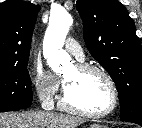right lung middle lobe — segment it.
<instances>
[{"label": "right lung middle lobe", "instance_id": "dd1d6c3e", "mask_svg": "<svg viewBox=\"0 0 142 128\" xmlns=\"http://www.w3.org/2000/svg\"><path fill=\"white\" fill-rule=\"evenodd\" d=\"M32 103L27 64L0 68V108H28Z\"/></svg>", "mask_w": 142, "mask_h": 128}]
</instances>
